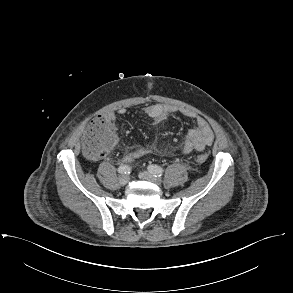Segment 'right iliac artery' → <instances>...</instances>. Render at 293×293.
Masks as SVG:
<instances>
[{"instance_id": "82829eb1", "label": "right iliac artery", "mask_w": 293, "mask_h": 293, "mask_svg": "<svg viewBox=\"0 0 293 293\" xmlns=\"http://www.w3.org/2000/svg\"><path fill=\"white\" fill-rule=\"evenodd\" d=\"M118 172L119 173H129L130 172V167L128 165H121L119 168H118Z\"/></svg>"}]
</instances>
